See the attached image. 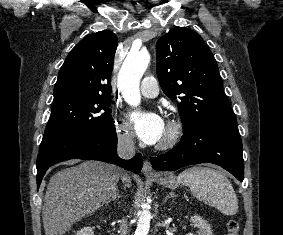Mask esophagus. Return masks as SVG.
I'll return each mask as SVG.
<instances>
[{
  "mask_svg": "<svg viewBox=\"0 0 283 235\" xmlns=\"http://www.w3.org/2000/svg\"><path fill=\"white\" fill-rule=\"evenodd\" d=\"M142 171L145 175H154V170L150 161L146 160L143 163Z\"/></svg>",
  "mask_w": 283,
  "mask_h": 235,
  "instance_id": "1",
  "label": "esophagus"
}]
</instances>
